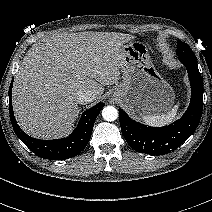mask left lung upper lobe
<instances>
[{
	"mask_svg": "<svg viewBox=\"0 0 212 212\" xmlns=\"http://www.w3.org/2000/svg\"><path fill=\"white\" fill-rule=\"evenodd\" d=\"M178 56H186V57H194L195 55L191 48L186 44L178 40L177 42V51H176Z\"/></svg>",
	"mask_w": 212,
	"mask_h": 212,
	"instance_id": "1",
	"label": "left lung upper lobe"
}]
</instances>
